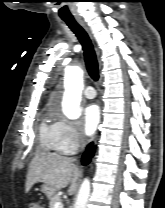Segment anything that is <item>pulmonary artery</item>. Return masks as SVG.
<instances>
[{"label":"pulmonary artery","instance_id":"obj_1","mask_svg":"<svg viewBox=\"0 0 165 208\" xmlns=\"http://www.w3.org/2000/svg\"><path fill=\"white\" fill-rule=\"evenodd\" d=\"M83 94L87 99H94L96 96V92L92 86H87L84 89Z\"/></svg>","mask_w":165,"mask_h":208}]
</instances>
